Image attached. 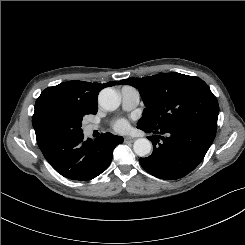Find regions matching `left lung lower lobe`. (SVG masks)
I'll return each instance as SVG.
<instances>
[{"label": "left lung lower lobe", "instance_id": "left-lung-lower-lobe-1", "mask_svg": "<svg viewBox=\"0 0 245 245\" xmlns=\"http://www.w3.org/2000/svg\"><path fill=\"white\" fill-rule=\"evenodd\" d=\"M142 130L158 135L154 139L150 137L153 153L149 157L140 158L139 162L145 171L165 180L181 178L195 169L216 135V129L195 122ZM159 139L162 141L157 144Z\"/></svg>", "mask_w": 245, "mask_h": 245}]
</instances>
